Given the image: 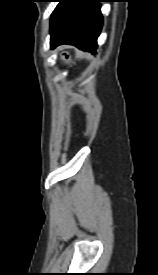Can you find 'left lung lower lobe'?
<instances>
[{"mask_svg": "<svg viewBox=\"0 0 158 275\" xmlns=\"http://www.w3.org/2000/svg\"><path fill=\"white\" fill-rule=\"evenodd\" d=\"M50 22L51 48L71 44L95 53L103 25L102 0H58Z\"/></svg>", "mask_w": 158, "mask_h": 275, "instance_id": "0a47b994", "label": "left lung lower lobe"}]
</instances>
